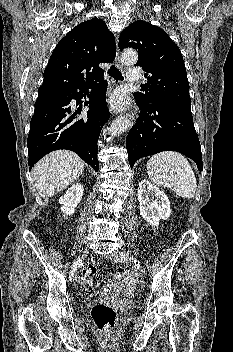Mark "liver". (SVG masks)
Wrapping results in <instances>:
<instances>
[{
  "label": "liver",
  "instance_id": "1",
  "mask_svg": "<svg viewBox=\"0 0 233 352\" xmlns=\"http://www.w3.org/2000/svg\"><path fill=\"white\" fill-rule=\"evenodd\" d=\"M83 169L84 162L75 153L54 151L34 166L35 186L42 197L54 196L78 179Z\"/></svg>",
  "mask_w": 233,
  "mask_h": 352
}]
</instances>
